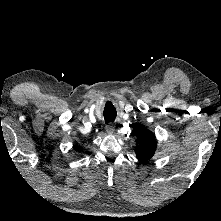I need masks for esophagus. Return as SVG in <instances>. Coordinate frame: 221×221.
<instances>
[{"label":"esophagus","instance_id":"34e87169","mask_svg":"<svg viewBox=\"0 0 221 221\" xmlns=\"http://www.w3.org/2000/svg\"><path fill=\"white\" fill-rule=\"evenodd\" d=\"M107 134L112 135L115 131V126L113 124H108L105 128Z\"/></svg>","mask_w":221,"mask_h":221}]
</instances>
